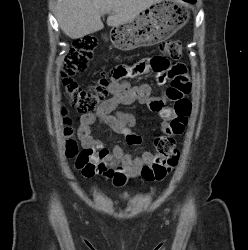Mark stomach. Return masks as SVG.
<instances>
[{"label":"stomach","mask_w":248,"mask_h":250,"mask_svg":"<svg viewBox=\"0 0 248 250\" xmlns=\"http://www.w3.org/2000/svg\"><path fill=\"white\" fill-rule=\"evenodd\" d=\"M188 19L189 13L180 0H162L132 21L112 28L109 39L122 51L153 46L170 38Z\"/></svg>","instance_id":"1"}]
</instances>
